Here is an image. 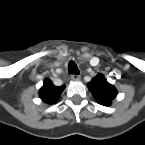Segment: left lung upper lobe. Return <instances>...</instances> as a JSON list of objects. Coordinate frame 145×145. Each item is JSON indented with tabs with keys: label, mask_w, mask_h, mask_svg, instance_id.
<instances>
[{
	"label": "left lung upper lobe",
	"mask_w": 145,
	"mask_h": 145,
	"mask_svg": "<svg viewBox=\"0 0 145 145\" xmlns=\"http://www.w3.org/2000/svg\"><path fill=\"white\" fill-rule=\"evenodd\" d=\"M88 88L95 99L102 105L108 106L117 95V91L113 85L109 84L103 75H97L88 83Z\"/></svg>",
	"instance_id": "5c2ea615"
}]
</instances>
